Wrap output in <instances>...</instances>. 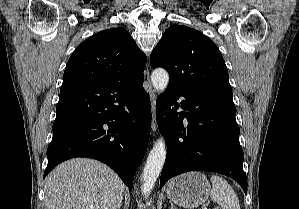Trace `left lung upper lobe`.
<instances>
[{
    "label": "left lung upper lobe",
    "mask_w": 299,
    "mask_h": 209,
    "mask_svg": "<svg viewBox=\"0 0 299 209\" xmlns=\"http://www.w3.org/2000/svg\"><path fill=\"white\" fill-rule=\"evenodd\" d=\"M150 64L153 68H165L172 85L232 91L219 49L213 41L190 27L170 26L152 51Z\"/></svg>",
    "instance_id": "5c2ea615"
}]
</instances>
